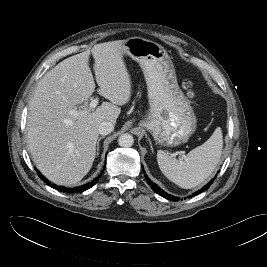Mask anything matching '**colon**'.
<instances>
[{
  "mask_svg": "<svg viewBox=\"0 0 267 267\" xmlns=\"http://www.w3.org/2000/svg\"><path fill=\"white\" fill-rule=\"evenodd\" d=\"M183 88L185 89V91H186V93H187V95L189 96V97H193L194 96V91H193V88H192V83H191V81H185L184 83H183Z\"/></svg>",
  "mask_w": 267,
  "mask_h": 267,
  "instance_id": "1",
  "label": "colon"
}]
</instances>
